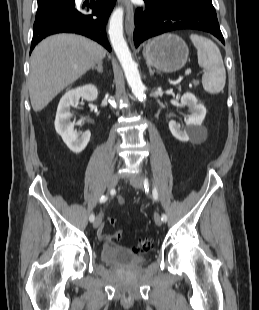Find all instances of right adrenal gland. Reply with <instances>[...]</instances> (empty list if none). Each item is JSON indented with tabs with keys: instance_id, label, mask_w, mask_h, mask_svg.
I'll use <instances>...</instances> for the list:
<instances>
[{
	"instance_id": "right-adrenal-gland-1",
	"label": "right adrenal gland",
	"mask_w": 259,
	"mask_h": 310,
	"mask_svg": "<svg viewBox=\"0 0 259 310\" xmlns=\"http://www.w3.org/2000/svg\"><path fill=\"white\" fill-rule=\"evenodd\" d=\"M102 61L98 63L96 67H93L92 70H97L99 73H103V66H102Z\"/></svg>"
}]
</instances>
